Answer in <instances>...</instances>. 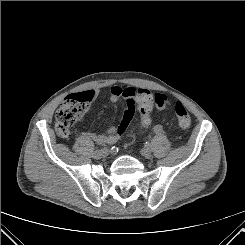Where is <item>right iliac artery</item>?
I'll use <instances>...</instances> for the list:
<instances>
[{
    "label": "right iliac artery",
    "mask_w": 245,
    "mask_h": 245,
    "mask_svg": "<svg viewBox=\"0 0 245 245\" xmlns=\"http://www.w3.org/2000/svg\"><path fill=\"white\" fill-rule=\"evenodd\" d=\"M100 153L103 154L104 156H107L108 155V149L107 148H102L100 150Z\"/></svg>",
    "instance_id": "right-iliac-artery-1"
}]
</instances>
